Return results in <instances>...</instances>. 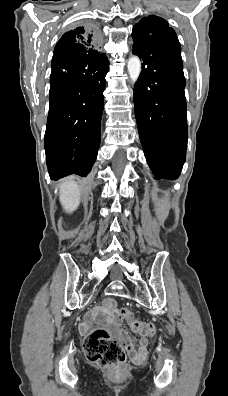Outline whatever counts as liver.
Segmentation results:
<instances>
[{"mask_svg":"<svg viewBox=\"0 0 228 396\" xmlns=\"http://www.w3.org/2000/svg\"><path fill=\"white\" fill-rule=\"evenodd\" d=\"M60 202L67 213L74 212L80 204V189L71 179L63 180L60 185Z\"/></svg>","mask_w":228,"mask_h":396,"instance_id":"liver-1","label":"liver"}]
</instances>
